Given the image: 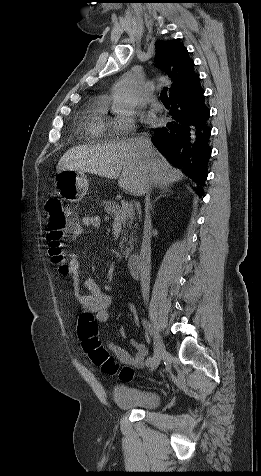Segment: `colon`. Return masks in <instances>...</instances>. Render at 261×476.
I'll return each mask as SVG.
<instances>
[{
    "label": "colon",
    "instance_id": "colon-1",
    "mask_svg": "<svg viewBox=\"0 0 261 476\" xmlns=\"http://www.w3.org/2000/svg\"><path fill=\"white\" fill-rule=\"evenodd\" d=\"M45 213L49 256L53 263L60 266V271L67 274L65 242L69 236H72L77 226L76 217L59 198H51L46 202ZM78 333L84 350L93 364L100 366L107 374H115L118 367L97 337L98 325L92 313L83 312L80 315ZM133 374L132 368L124 367L121 369L119 377L124 381H130Z\"/></svg>",
    "mask_w": 261,
    "mask_h": 476
}]
</instances>
